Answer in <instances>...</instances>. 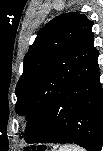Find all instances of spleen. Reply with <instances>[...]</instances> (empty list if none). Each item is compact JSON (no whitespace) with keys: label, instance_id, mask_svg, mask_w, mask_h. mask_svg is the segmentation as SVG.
<instances>
[{"label":"spleen","instance_id":"obj_1","mask_svg":"<svg viewBox=\"0 0 103 151\" xmlns=\"http://www.w3.org/2000/svg\"><path fill=\"white\" fill-rule=\"evenodd\" d=\"M59 151H85V149L76 145H64L59 148Z\"/></svg>","mask_w":103,"mask_h":151}]
</instances>
